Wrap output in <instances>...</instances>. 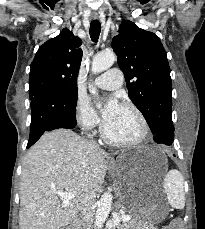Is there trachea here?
Listing matches in <instances>:
<instances>
[{
    "instance_id": "trachea-1",
    "label": "trachea",
    "mask_w": 205,
    "mask_h": 229,
    "mask_svg": "<svg viewBox=\"0 0 205 229\" xmlns=\"http://www.w3.org/2000/svg\"><path fill=\"white\" fill-rule=\"evenodd\" d=\"M101 32V24L98 20H93L90 26V37L93 42H97Z\"/></svg>"
}]
</instances>
